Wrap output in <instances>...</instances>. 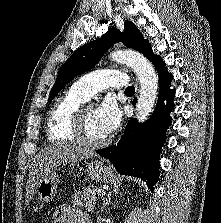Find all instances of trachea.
Segmentation results:
<instances>
[{
	"mask_svg": "<svg viewBox=\"0 0 221 223\" xmlns=\"http://www.w3.org/2000/svg\"><path fill=\"white\" fill-rule=\"evenodd\" d=\"M126 93H134L135 92V88L134 86H129L126 88L125 90Z\"/></svg>",
	"mask_w": 221,
	"mask_h": 223,
	"instance_id": "trachea-1",
	"label": "trachea"
}]
</instances>
